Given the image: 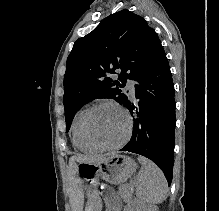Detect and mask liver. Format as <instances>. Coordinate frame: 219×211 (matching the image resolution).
Listing matches in <instances>:
<instances>
[{"instance_id":"6515ba94","label":"liver","mask_w":219,"mask_h":211,"mask_svg":"<svg viewBox=\"0 0 219 211\" xmlns=\"http://www.w3.org/2000/svg\"><path fill=\"white\" fill-rule=\"evenodd\" d=\"M101 157V155H100ZM100 157H83V155H72L69 161L70 167V175H71V193H70V201L72 211H82L83 203H84V195L82 191V187L79 183L78 177H76V163L75 161H94V159H100Z\"/></svg>"}]
</instances>
